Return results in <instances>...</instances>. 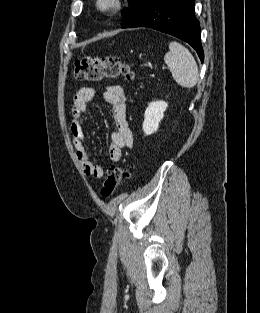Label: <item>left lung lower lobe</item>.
<instances>
[{"label":"left lung lower lobe","mask_w":260,"mask_h":313,"mask_svg":"<svg viewBox=\"0 0 260 313\" xmlns=\"http://www.w3.org/2000/svg\"><path fill=\"white\" fill-rule=\"evenodd\" d=\"M195 0H151L124 28L149 27L189 43L204 60L200 25L194 15Z\"/></svg>","instance_id":"1"}]
</instances>
